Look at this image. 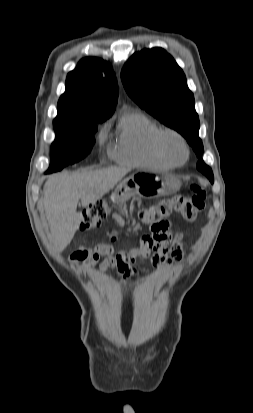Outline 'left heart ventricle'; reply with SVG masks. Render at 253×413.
Wrapping results in <instances>:
<instances>
[{
    "instance_id": "b2bd125f",
    "label": "left heart ventricle",
    "mask_w": 253,
    "mask_h": 413,
    "mask_svg": "<svg viewBox=\"0 0 253 413\" xmlns=\"http://www.w3.org/2000/svg\"><path fill=\"white\" fill-rule=\"evenodd\" d=\"M168 148H169V151L172 157L176 161H182L184 159L185 153H184L183 147L177 140L170 139L168 142Z\"/></svg>"
}]
</instances>
